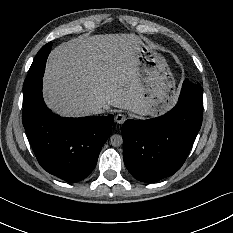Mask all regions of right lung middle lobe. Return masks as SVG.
Instances as JSON below:
<instances>
[{"mask_svg": "<svg viewBox=\"0 0 233 233\" xmlns=\"http://www.w3.org/2000/svg\"><path fill=\"white\" fill-rule=\"evenodd\" d=\"M52 44L48 43L44 45L40 51L37 53L28 75L24 81V91H26L29 87L34 85L37 81H39L44 74L45 64L47 59L48 50L51 49Z\"/></svg>", "mask_w": 233, "mask_h": 233, "instance_id": "dd1d6c3e", "label": "right lung middle lobe"}]
</instances>
